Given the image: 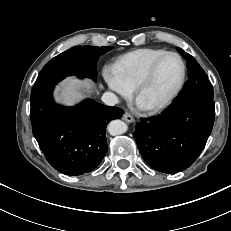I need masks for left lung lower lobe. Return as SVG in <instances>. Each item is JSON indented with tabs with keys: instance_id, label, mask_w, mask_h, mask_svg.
Here are the masks:
<instances>
[{
	"instance_id": "obj_1",
	"label": "left lung lower lobe",
	"mask_w": 231,
	"mask_h": 231,
	"mask_svg": "<svg viewBox=\"0 0 231 231\" xmlns=\"http://www.w3.org/2000/svg\"><path fill=\"white\" fill-rule=\"evenodd\" d=\"M215 103L211 98L175 100L160 115L141 118L134 138L143 159L155 170L176 173L197 159L212 131Z\"/></svg>"
}]
</instances>
